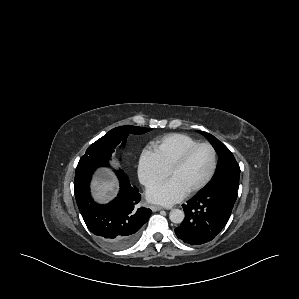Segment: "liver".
<instances>
[{
    "mask_svg": "<svg viewBox=\"0 0 299 299\" xmlns=\"http://www.w3.org/2000/svg\"><path fill=\"white\" fill-rule=\"evenodd\" d=\"M94 198L98 202H106L111 199L118 189L117 180L109 173L103 172L96 176L92 182Z\"/></svg>",
    "mask_w": 299,
    "mask_h": 299,
    "instance_id": "liver-1",
    "label": "liver"
}]
</instances>
